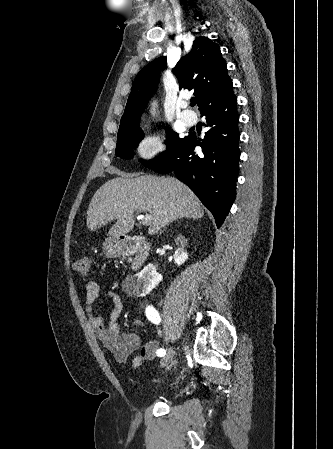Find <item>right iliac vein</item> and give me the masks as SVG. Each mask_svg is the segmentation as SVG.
Returning <instances> with one entry per match:
<instances>
[{"label":"right iliac vein","instance_id":"63e3f726","mask_svg":"<svg viewBox=\"0 0 333 449\" xmlns=\"http://www.w3.org/2000/svg\"><path fill=\"white\" fill-rule=\"evenodd\" d=\"M174 354H175L174 348L170 347L167 350V353L161 359V366L164 367V366L168 365L171 362V360L173 359Z\"/></svg>","mask_w":333,"mask_h":449}]
</instances>
